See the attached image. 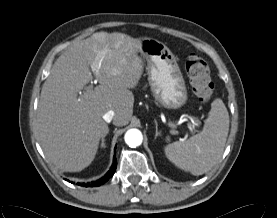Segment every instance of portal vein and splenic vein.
<instances>
[{"label":"portal vein and splenic vein","instance_id":"obj_1","mask_svg":"<svg viewBox=\"0 0 277 218\" xmlns=\"http://www.w3.org/2000/svg\"><path fill=\"white\" fill-rule=\"evenodd\" d=\"M92 70L95 71L96 69H95L94 67H92ZM92 88H93V86H92V85H89V86L86 88V90L89 91V90H91ZM188 128L192 131V129L194 128V125H192L191 123H188ZM171 133H172V134H176L177 131L171 130Z\"/></svg>","mask_w":277,"mask_h":218}]
</instances>
